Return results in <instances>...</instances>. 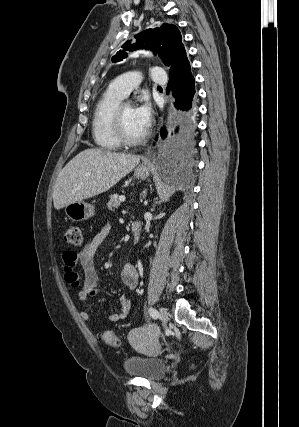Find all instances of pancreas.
Here are the masks:
<instances>
[{"label": "pancreas", "mask_w": 299, "mask_h": 427, "mask_svg": "<svg viewBox=\"0 0 299 427\" xmlns=\"http://www.w3.org/2000/svg\"><path fill=\"white\" fill-rule=\"evenodd\" d=\"M121 204V201L118 198L117 194H113L110 196V200L107 204V207L109 210H114L116 208H118V206Z\"/></svg>", "instance_id": "1"}]
</instances>
